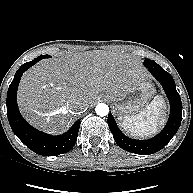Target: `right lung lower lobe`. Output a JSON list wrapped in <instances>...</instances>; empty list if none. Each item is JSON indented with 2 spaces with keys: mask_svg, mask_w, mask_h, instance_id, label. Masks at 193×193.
I'll return each mask as SVG.
<instances>
[{
  "mask_svg": "<svg viewBox=\"0 0 193 193\" xmlns=\"http://www.w3.org/2000/svg\"><path fill=\"white\" fill-rule=\"evenodd\" d=\"M38 61L39 59L35 58L23 64L15 73L7 93L8 120L15 135L29 149L43 156L59 155L68 152L75 145L81 121L75 122L66 133L59 136H51L30 126L21 116L17 106L16 93L21 76Z\"/></svg>",
  "mask_w": 193,
  "mask_h": 193,
  "instance_id": "1",
  "label": "right lung lower lobe"
}]
</instances>
